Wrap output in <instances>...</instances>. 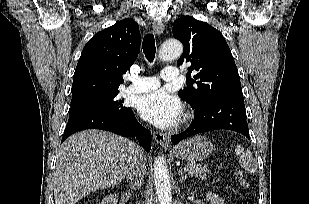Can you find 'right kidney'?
Returning a JSON list of instances; mask_svg holds the SVG:
<instances>
[{
  "label": "right kidney",
  "mask_w": 309,
  "mask_h": 204,
  "mask_svg": "<svg viewBox=\"0 0 309 204\" xmlns=\"http://www.w3.org/2000/svg\"><path fill=\"white\" fill-rule=\"evenodd\" d=\"M130 194L123 193L121 196V199L125 202L129 200ZM118 203V197L116 194L110 195L106 198H104L99 204H117Z\"/></svg>",
  "instance_id": "ca27d5eb"
}]
</instances>
